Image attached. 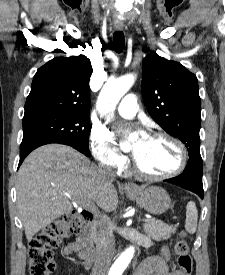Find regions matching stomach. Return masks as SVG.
<instances>
[{"mask_svg":"<svg viewBox=\"0 0 225 275\" xmlns=\"http://www.w3.org/2000/svg\"><path fill=\"white\" fill-rule=\"evenodd\" d=\"M127 195L135 199L140 207L153 215L166 212L171 206L168 193L161 187H136L133 191H126Z\"/></svg>","mask_w":225,"mask_h":275,"instance_id":"obj_1","label":"stomach"}]
</instances>
